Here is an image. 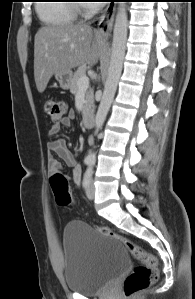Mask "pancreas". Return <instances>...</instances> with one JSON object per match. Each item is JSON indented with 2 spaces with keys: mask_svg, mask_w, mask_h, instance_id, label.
Instances as JSON below:
<instances>
[{
  "mask_svg": "<svg viewBox=\"0 0 195 299\" xmlns=\"http://www.w3.org/2000/svg\"><path fill=\"white\" fill-rule=\"evenodd\" d=\"M86 69H87V67L85 65H82L74 73L72 83H71V86H70V92L73 95H76V93L78 92V90H79L78 81L82 76L86 75ZM93 102H94L93 90L89 89L86 92V96H85L84 106H83V109H82L83 115H85L87 113L89 108L92 106Z\"/></svg>",
  "mask_w": 195,
  "mask_h": 299,
  "instance_id": "obj_1",
  "label": "pancreas"
}]
</instances>
